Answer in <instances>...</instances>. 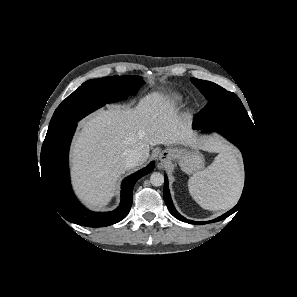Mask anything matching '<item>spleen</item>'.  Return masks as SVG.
Listing matches in <instances>:
<instances>
[{
	"instance_id": "obj_1",
	"label": "spleen",
	"mask_w": 297,
	"mask_h": 297,
	"mask_svg": "<svg viewBox=\"0 0 297 297\" xmlns=\"http://www.w3.org/2000/svg\"><path fill=\"white\" fill-rule=\"evenodd\" d=\"M243 177L237 154L225 151L206 169L189 179L193 199L204 209L225 210L232 207L240 194Z\"/></svg>"
}]
</instances>
